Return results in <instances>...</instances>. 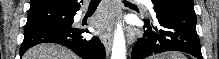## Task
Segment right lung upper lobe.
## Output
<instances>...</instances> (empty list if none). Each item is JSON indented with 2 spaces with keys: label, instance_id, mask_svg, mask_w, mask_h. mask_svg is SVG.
Here are the masks:
<instances>
[{
  "label": "right lung upper lobe",
  "instance_id": "obj_1",
  "mask_svg": "<svg viewBox=\"0 0 219 59\" xmlns=\"http://www.w3.org/2000/svg\"><path fill=\"white\" fill-rule=\"evenodd\" d=\"M79 5L80 4L77 2V0H31L29 12L54 8L71 11L77 8Z\"/></svg>",
  "mask_w": 219,
  "mask_h": 59
}]
</instances>
